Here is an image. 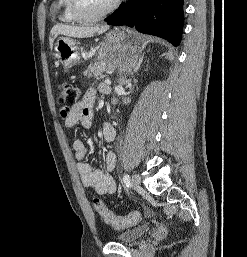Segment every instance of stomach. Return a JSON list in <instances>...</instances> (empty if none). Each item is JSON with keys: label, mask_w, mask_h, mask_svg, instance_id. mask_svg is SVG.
<instances>
[{"label": "stomach", "mask_w": 247, "mask_h": 257, "mask_svg": "<svg viewBox=\"0 0 247 257\" xmlns=\"http://www.w3.org/2000/svg\"><path fill=\"white\" fill-rule=\"evenodd\" d=\"M129 38L130 34L121 29L106 33L99 58L122 71H131L138 64L139 54ZM79 49V42L69 37H59L55 43L56 57L67 68L81 61Z\"/></svg>", "instance_id": "1"}]
</instances>
